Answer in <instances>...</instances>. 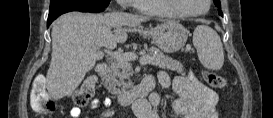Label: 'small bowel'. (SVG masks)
I'll return each mask as SVG.
<instances>
[{"label": "small bowel", "mask_w": 273, "mask_h": 118, "mask_svg": "<svg viewBox=\"0 0 273 118\" xmlns=\"http://www.w3.org/2000/svg\"><path fill=\"white\" fill-rule=\"evenodd\" d=\"M145 80L154 81L148 76ZM157 80L166 90H172L177 94V98L172 102V113L175 118H217L218 95L209 87L201 83L192 73L176 75L173 78L164 72L157 73ZM153 107L159 103V98L154 96L150 100ZM104 105L112 104L110 99L103 101ZM100 104V100L94 99L90 108L95 109ZM138 118H159L155 108L151 109L146 104H139L134 107ZM70 117L78 118L81 115L79 107L70 109Z\"/></svg>", "instance_id": "c3829d8e"}]
</instances>
